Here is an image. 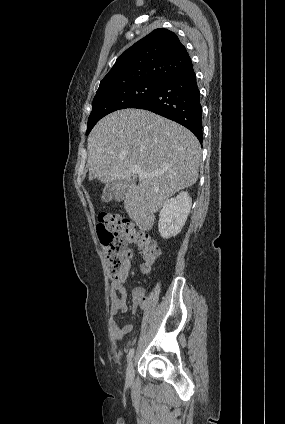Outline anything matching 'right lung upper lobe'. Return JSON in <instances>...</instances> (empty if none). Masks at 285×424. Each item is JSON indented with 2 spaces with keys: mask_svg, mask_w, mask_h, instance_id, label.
<instances>
[{
  "mask_svg": "<svg viewBox=\"0 0 285 424\" xmlns=\"http://www.w3.org/2000/svg\"><path fill=\"white\" fill-rule=\"evenodd\" d=\"M191 64L177 35L167 29H156L117 58L97 91L139 81L164 82Z\"/></svg>",
  "mask_w": 285,
  "mask_h": 424,
  "instance_id": "obj_1",
  "label": "right lung upper lobe"
}]
</instances>
